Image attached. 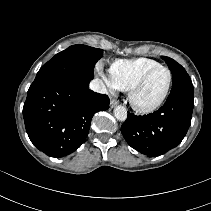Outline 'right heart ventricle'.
Returning <instances> with one entry per match:
<instances>
[{"instance_id":"e07e8e85","label":"right heart ventricle","mask_w":211,"mask_h":211,"mask_svg":"<svg viewBox=\"0 0 211 211\" xmlns=\"http://www.w3.org/2000/svg\"><path fill=\"white\" fill-rule=\"evenodd\" d=\"M157 65L149 58L120 59L110 66V78L117 89L129 91L144 72Z\"/></svg>"}]
</instances>
